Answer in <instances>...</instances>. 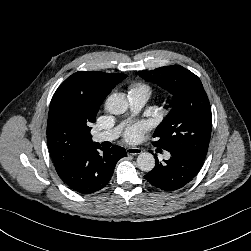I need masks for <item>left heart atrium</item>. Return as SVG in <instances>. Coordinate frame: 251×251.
<instances>
[{
    "label": "left heart atrium",
    "instance_id": "1",
    "mask_svg": "<svg viewBox=\"0 0 251 251\" xmlns=\"http://www.w3.org/2000/svg\"><path fill=\"white\" fill-rule=\"evenodd\" d=\"M149 129V124L140 121L128 126L124 132V138L129 143L137 142L141 139L143 133Z\"/></svg>",
    "mask_w": 251,
    "mask_h": 251
}]
</instances>
